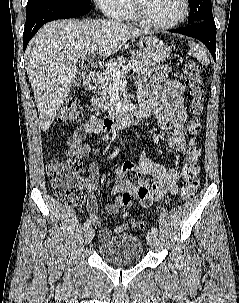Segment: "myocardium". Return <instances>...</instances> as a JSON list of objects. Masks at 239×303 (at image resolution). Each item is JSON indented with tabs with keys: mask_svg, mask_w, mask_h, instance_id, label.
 I'll use <instances>...</instances> for the list:
<instances>
[{
	"mask_svg": "<svg viewBox=\"0 0 239 303\" xmlns=\"http://www.w3.org/2000/svg\"><path fill=\"white\" fill-rule=\"evenodd\" d=\"M183 2V12L179 18L169 23H155L151 21L145 14L141 0H131L132 10L136 19L146 27L158 30H166L174 28L180 25L186 20L190 11L189 0H182Z\"/></svg>",
	"mask_w": 239,
	"mask_h": 303,
	"instance_id": "obj_1",
	"label": "myocardium"
}]
</instances>
